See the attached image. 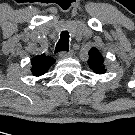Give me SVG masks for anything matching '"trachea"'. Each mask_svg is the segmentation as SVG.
Wrapping results in <instances>:
<instances>
[{
  "mask_svg": "<svg viewBox=\"0 0 135 135\" xmlns=\"http://www.w3.org/2000/svg\"><path fill=\"white\" fill-rule=\"evenodd\" d=\"M68 50H69V33L68 31H63L56 45L55 53L66 52Z\"/></svg>",
  "mask_w": 135,
  "mask_h": 135,
  "instance_id": "trachea-1",
  "label": "trachea"
}]
</instances>
